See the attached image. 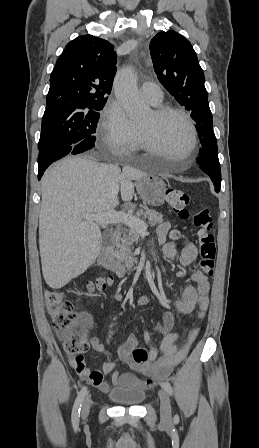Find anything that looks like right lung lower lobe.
Instances as JSON below:
<instances>
[{"label": "right lung lower lobe", "mask_w": 259, "mask_h": 448, "mask_svg": "<svg viewBox=\"0 0 259 448\" xmlns=\"http://www.w3.org/2000/svg\"><path fill=\"white\" fill-rule=\"evenodd\" d=\"M73 153V147L49 148L39 151L38 155V180L41 179L44 171L50 164L58 159Z\"/></svg>", "instance_id": "1"}]
</instances>
